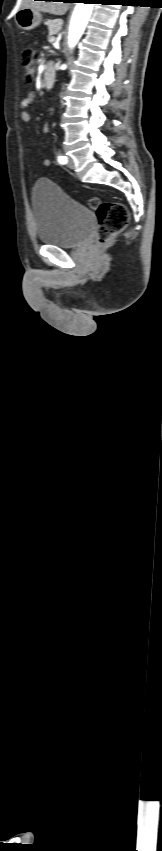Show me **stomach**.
Returning <instances> with one entry per match:
<instances>
[{"instance_id":"0dacf381","label":"stomach","mask_w":162,"mask_h":851,"mask_svg":"<svg viewBox=\"0 0 162 851\" xmlns=\"http://www.w3.org/2000/svg\"><path fill=\"white\" fill-rule=\"evenodd\" d=\"M42 21L40 11L31 8H21L15 15L17 26L25 31H29L37 27Z\"/></svg>"}]
</instances>
